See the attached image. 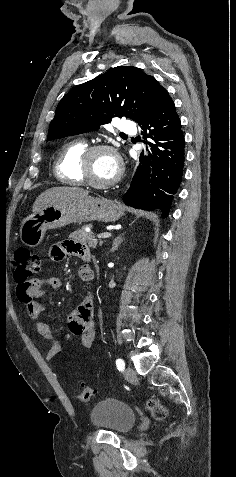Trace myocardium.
Listing matches in <instances>:
<instances>
[{"mask_svg":"<svg viewBox=\"0 0 236 477\" xmlns=\"http://www.w3.org/2000/svg\"><path fill=\"white\" fill-rule=\"evenodd\" d=\"M101 151L110 152L116 158V160L118 161V164H119V169H118V172H117L116 176L113 179H111L110 181H106V182L95 181L90 176V169H89L90 160L96 153L101 152ZM79 174H80L84 184H87V185H89L91 187H94V188H100V189L109 188V187L115 185L120 180V178L122 176L121 159H120L117 151L115 150V148H113L110 145L97 144V145L89 146V147L86 148V150L83 152V154L80 157V160H79Z\"/></svg>","mask_w":236,"mask_h":477,"instance_id":"f54148a6","label":"myocardium"}]
</instances>
